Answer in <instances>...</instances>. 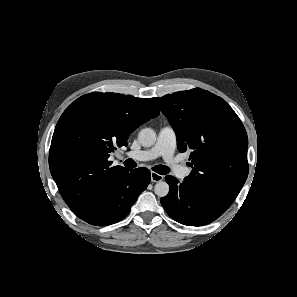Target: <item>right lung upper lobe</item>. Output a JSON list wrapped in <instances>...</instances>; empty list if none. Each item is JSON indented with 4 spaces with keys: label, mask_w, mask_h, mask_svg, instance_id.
I'll return each instance as SVG.
<instances>
[{
    "label": "right lung upper lobe",
    "mask_w": 297,
    "mask_h": 297,
    "mask_svg": "<svg viewBox=\"0 0 297 297\" xmlns=\"http://www.w3.org/2000/svg\"><path fill=\"white\" fill-rule=\"evenodd\" d=\"M159 115L150 99L117 93L83 95L61 115L51 142L49 167L70 209L82 214L127 168L111 166L115 145Z\"/></svg>",
    "instance_id": "1"
}]
</instances>
